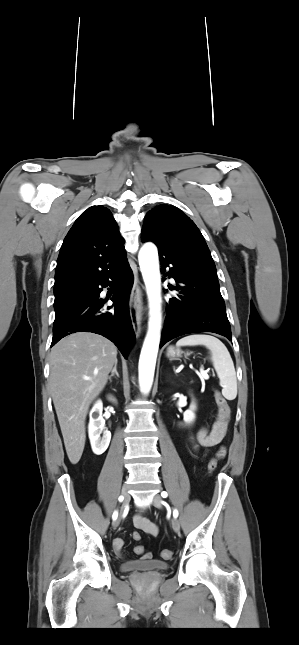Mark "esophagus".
<instances>
[{
    "mask_svg": "<svg viewBox=\"0 0 299 645\" xmlns=\"http://www.w3.org/2000/svg\"><path fill=\"white\" fill-rule=\"evenodd\" d=\"M129 312L135 335L139 337L142 320V290L137 283H134L131 290Z\"/></svg>",
    "mask_w": 299,
    "mask_h": 645,
    "instance_id": "1",
    "label": "esophagus"
}]
</instances>
